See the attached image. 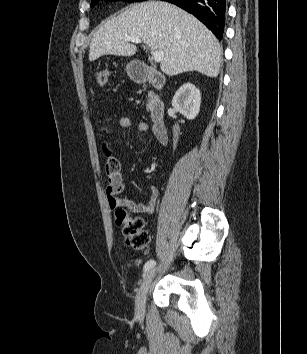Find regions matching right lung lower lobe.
Returning a JSON list of instances; mask_svg holds the SVG:
<instances>
[{
	"label": "right lung lower lobe",
	"mask_w": 307,
	"mask_h": 354,
	"mask_svg": "<svg viewBox=\"0 0 307 354\" xmlns=\"http://www.w3.org/2000/svg\"><path fill=\"white\" fill-rule=\"evenodd\" d=\"M188 11L221 40L226 17V0H164Z\"/></svg>",
	"instance_id": "98d812e1"
}]
</instances>
